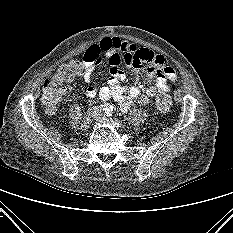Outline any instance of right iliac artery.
<instances>
[{"label": "right iliac artery", "mask_w": 233, "mask_h": 233, "mask_svg": "<svg viewBox=\"0 0 233 233\" xmlns=\"http://www.w3.org/2000/svg\"><path fill=\"white\" fill-rule=\"evenodd\" d=\"M110 107H111V106H109V104H106V103L101 104V105L99 106L100 110H103V111H108V110L110 109Z\"/></svg>", "instance_id": "1"}]
</instances>
